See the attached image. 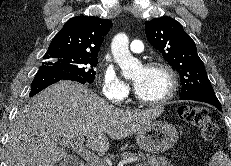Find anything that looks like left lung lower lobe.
I'll return each mask as SVG.
<instances>
[{
	"instance_id": "0a47b994",
	"label": "left lung lower lobe",
	"mask_w": 231,
	"mask_h": 166,
	"mask_svg": "<svg viewBox=\"0 0 231 166\" xmlns=\"http://www.w3.org/2000/svg\"><path fill=\"white\" fill-rule=\"evenodd\" d=\"M180 99L206 102V103H209L215 106L220 111H222L221 104L214 93L212 94H191V95L181 97Z\"/></svg>"
}]
</instances>
